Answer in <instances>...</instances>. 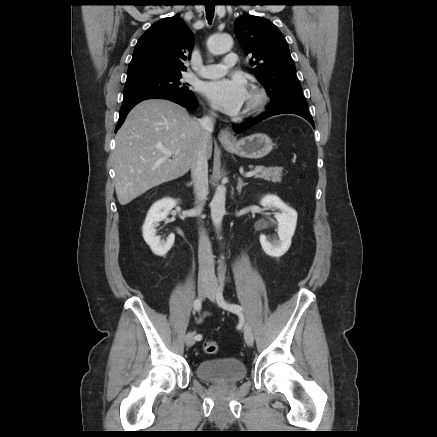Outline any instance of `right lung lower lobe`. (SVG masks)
Returning <instances> with one entry per match:
<instances>
[{
	"label": "right lung lower lobe",
	"instance_id": "1",
	"mask_svg": "<svg viewBox=\"0 0 437 437\" xmlns=\"http://www.w3.org/2000/svg\"><path fill=\"white\" fill-rule=\"evenodd\" d=\"M167 99L170 101H173L183 107H187L189 110H194L197 107V101L194 98V94L193 95H171V94H162V95H154V96H149V97H145L142 99H138L135 101H132L130 103L124 104L123 107L120 110V114H119V120H118V124L115 128V132H117V130L121 127V125L123 124L127 113L139 102L146 100V99Z\"/></svg>",
	"mask_w": 437,
	"mask_h": 437
}]
</instances>
